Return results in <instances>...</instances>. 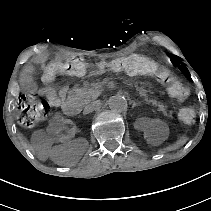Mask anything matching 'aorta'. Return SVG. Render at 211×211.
I'll list each match as a JSON object with an SVG mask.
<instances>
[{
  "instance_id": "aorta-1",
  "label": "aorta",
  "mask_w": 211,
  "mask_h": 211,
  "mask_svg": "<svg viewBox=\"0 0 211 211\" xmlns=\"http://www.w3.org/2000/svg\"><path fill=\"white\" fill-rule=\"evenodd\" d=\"M109 108L113 111H125L127 109V102L124 97L115 95L108 99Z\"/></svg>"
}]
</instances>
